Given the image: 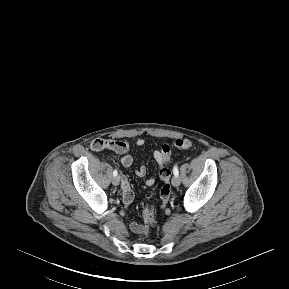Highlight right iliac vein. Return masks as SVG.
I'll return each instance as SVG.
<instances>
[{
    "mask_svg": "<svg viewBox=\"0 0 289 289\" xmlns=\"http://www.w3.org/2000/svg\"><path fill=\"white\" fill-rule=\"evenodd\" d=\"M120 183V177L119 176H114L112 179V184L117 186Z\"/></svg>",
    "mask_w": 289,
    "mask_h": 289,
    "instance_id": "1",
    "label": "right iliac vein"
}]
</instances>
